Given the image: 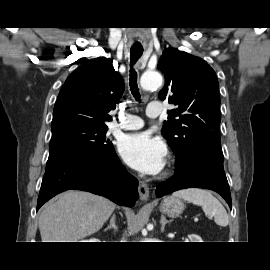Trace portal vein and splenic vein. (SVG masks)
I'll return each instance as SVG.
<instances>
[{"label":"portal vein and splenic vein","instance_id":"portal-vein-and-splenic-vein-1","mask_svg":"<svg viewBox=\"0 0 270 270\" xmlns=\"http://www.w3.org/2000/svg\"><path fill=\"white\" fill-rule=\"evenodd\" d=\"M194 221L197 222V221H198V218L196 217V218L194 219Z\"/></svg>","mask_w":270,"mask_h":270}]
</instances>
